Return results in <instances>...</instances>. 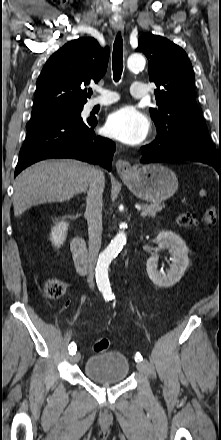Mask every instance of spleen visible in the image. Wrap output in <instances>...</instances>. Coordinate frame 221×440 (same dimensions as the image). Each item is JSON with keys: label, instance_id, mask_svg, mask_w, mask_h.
Masks as SVG:
<instances>
[{"label": "spleen", "instance_id": "spleen-1", "mask_svg": "<svg viewBox=\"0 0 221 440\" xmlns=\"http://www.w3.org/2000/svg\"><path fill=\"white\" fill-rule=\"evenodd\" d=\"M199 194L201 197L206 196V191L204 189H201Z\"/></svg>", "mask_w": 221, "mask_h": 440}]
</instances>
